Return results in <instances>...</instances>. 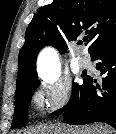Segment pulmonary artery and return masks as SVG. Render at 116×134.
Returning a JSON list of instances; mask_svg holds the SVG:
<instances>
[{
    "instance_id": "obj_1",
    "label": "pulmonary artery",
    "mask_w": 116,
    "mask_h": 134,
    "mask_svg": "<svg viewBox=\"0 0 116 134\" xmlns=\"http://www.w3.org/2000/svg\"><path fill=\"white\" fill-rule=\"evenodd\" d=\"M78 62L81 68H90L92 66L90 59L86 56H81Z\"/></svg>"
}]
</instances>
